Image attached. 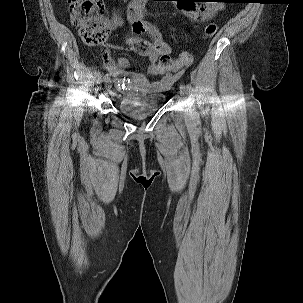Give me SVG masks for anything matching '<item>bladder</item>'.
Returning a JSON list of instances; mask_svg holds the SVG:
<instances>
[{
    "mask_svg": "<svg viewBox=\"0 0 303 303\" xmlns=\"http://www.w3.org/2000/svg\"><path fill=\"white\" fill-rule=\"evenodd\" d=\"M165 95L157 94H130L120 98V110L132 119H143L157 111L164 102Z\"/></svg>",
    "mask_w": 303,
    "mask_h": 303,
    "instance_id": "bladder-1",
    "label": "bladder"
}]
</instances>
